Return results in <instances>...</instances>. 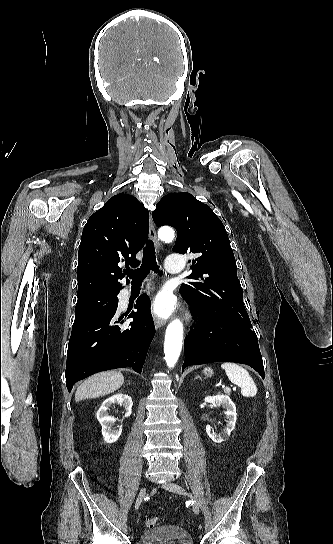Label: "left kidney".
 <instances>
[{
	"instance_id": "1",
	"label": "left kidney",
	"mask_w": 333,
	"mask_h": 544,
	"mask_svg": "<svg viewBox=\"0 0 333 544\" xmlns=\"http://www.w3.org/2000/svg\"><path fill=\"white\" fill-rule=\"evenodd\" d=\"M204 401L206 403H211L214 407L222 406L226 409L224 414L227 419V424L219 435H215L214 432H212L210 425L206 426V432L212 441L215 443H221L229 438L231 432L235 428V423L237 420L235 404L226 395L207 396L205 397Z\"/></svg>"
}]
</instances>
